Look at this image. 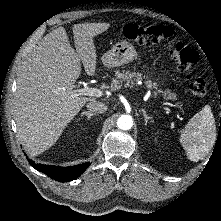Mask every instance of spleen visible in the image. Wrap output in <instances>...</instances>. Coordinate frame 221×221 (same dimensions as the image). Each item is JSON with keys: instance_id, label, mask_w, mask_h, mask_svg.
Listing matches in <instances>:
<instances>
[{"instance_id": "obj_1", "label": "spleen", "mask_w": 221, "mask_h": 221, "mask_svg": "<svg viewBox=\"0 0 221 221\" xmlns=\"http://www.w3.org/2000/svg\"><path fill=\"white\" fill-rule=\"evenodd\" d=\"M215 119L209 105L196 113L186 124L180 135V142L191 161L204 159L216 141Z\"/></svg>"}]
</instances>
